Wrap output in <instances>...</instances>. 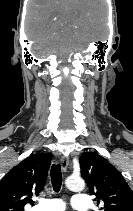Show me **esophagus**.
I'll return each instance as SVG.
<instances>
[{
	"instance_id": "esophagus-1",
	"label": "esophagus",
	"mask_w": 133,
	"mask_h": 211,
	"mask_svg": "<svg viewBox=\"0 0 133 211\" xmlns=\"http://www.w3.org/2000/svg\"><path fill=\"white\" fill-rule=\"evenodd\" d=\"M68 165H69V161L67 158L65 157H62L61 158V167H62V170L65 172L68 168Z\"/></svg>"
}]
</instances>
